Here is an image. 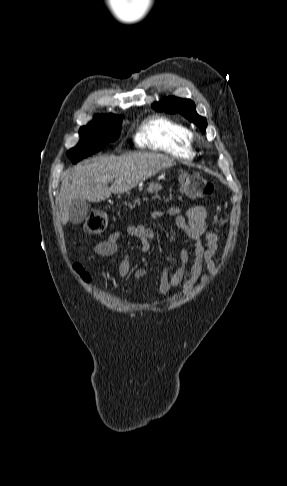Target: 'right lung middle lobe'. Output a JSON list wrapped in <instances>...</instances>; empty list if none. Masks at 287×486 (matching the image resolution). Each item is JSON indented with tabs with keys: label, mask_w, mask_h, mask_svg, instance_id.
Listing matches in <instances>:
<instances>
[{
	"label": "right lung middle lobe",
	"mask_w": 287,
	"mask_h": 486,
	"mask_svg": "<svg viewBox=\"0 0 287 486\" xmlns=\"http://www.w3.org/2000/svg\"><path fill=\"white\" fill-rule=\"evenodd\" d=\"M123 116L95 115L93 121L87 126L81 127L80 142L68 152L72 163L94 154L103 149L109 142L115 141L121 131Z\"/></svg>",
	"instance_id": "1"
}]
</instances>
